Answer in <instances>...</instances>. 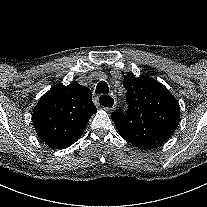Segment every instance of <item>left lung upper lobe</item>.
I'll use <instances>...</instances> for the list:
<instances>
[{
    "mask_svg": "<svg viewBox=\"0 0 207 207\" xmlns=\"http://www.w3.org/2000/svg\"><path fill=\"white\" fill-rule=\"evenodd\" d=\"M128 110L115 111L111 118L122 138L140 149H153L168 140L180 121L179 103L168 89L153 78L129 73Z\"/></svg>",
    "mask_w": 207,
    "mask_h": 207,
    "instance_id": "obj_1",
    "label": "left lung upper lobe"
}]
</instances>
